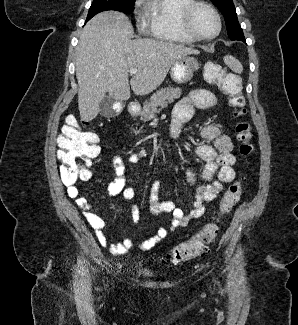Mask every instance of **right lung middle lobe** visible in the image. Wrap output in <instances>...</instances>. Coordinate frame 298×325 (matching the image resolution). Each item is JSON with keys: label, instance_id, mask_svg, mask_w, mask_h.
Wrapping results in <instances>:
<instances>
[{"label": "right lung middle lobe", "instance_id": "obj_1", "mask_svg": "<svg viewBox=\"0 0 298 325\" xmlns=\"http://www.w3.org/2000/svg\"><path fill=\"white\" fill-rule=\"evenodd\" d=\"M135 0H93L87 21L99 12L106 10H116L124 13H132Z\"/></svg>", "mask_w": 298, "mask_h": 325}]
</instances>
